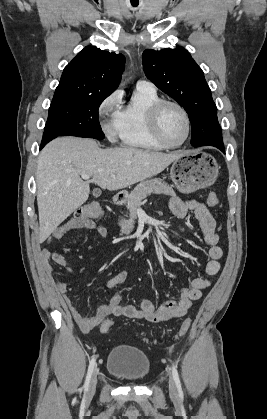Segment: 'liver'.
I'll list each match as a JSON object with an SVG mask.
<instances>
[{
    "label": "liver",
    "instance_id": "obj_1",
    "mask_svg": "<svg viewBox=\"0 0 267 419\" xmlns=\"http://www.w3.org/2000/svg\"><path fill=\"white\" fill-rule=\"evenodd\" d=\"M182 154L133 147L101 149L86 138L52 140L41 151L36 171L40 242L87 201L90 182L110 191L123 189L159 174ZM81 175L92 179L83 181Z\"/></svg>",
    "mask_w": 267,
    "mask_h": 419
}]
</instances>
